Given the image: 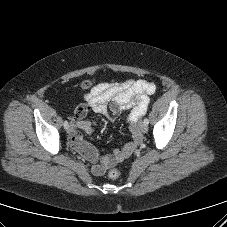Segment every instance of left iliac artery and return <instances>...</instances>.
Masks as SVG:
<instances>
[{
    "label": "left iliac artery",
    "instance_id": "1",
    "mask_svg": "<svg viewBox=\"0 0 227 227\" xmlns=\"http://www.w3.org/2000/svg\"><path fill=\"white\" fill-rule=\"evenodd\" d=\"M144 123H145L146 125H148V124H149V120H148L147 118H145V119H144Z\"/></svg>",
    "mask_w": 227,
    "mask_h": 227
}]
</instances>
